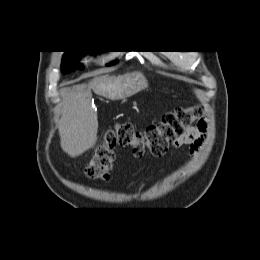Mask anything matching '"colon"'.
<instances>
[{"instance_id": "5ec220e1", "label": "colon", "mask_w": 260, "mask_h": 260, "mask_svg": "<svg viewBox=\"0 0 260 260\" xmlns=\"http://www.w3.org/2000/svg\"><path fill=\"white\" fill-rule=\"evenodd\" d=\"M201 118V108L192 106L167 112L160 122L149 125L142 131L135 129L129 122L117 123L113 128L104 131L85 173L90 179H107L116 147H130L136 157L143 156L146 151L161 157L194 123H199Z\"/></svg>"}]
</instances>
